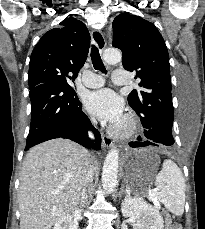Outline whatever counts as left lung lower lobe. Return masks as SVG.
<instances>
[{
	"mask_svg": "<svg viewBox=\"0 0 205 229\" xmlns=\"http://www.w3.org/2000/svg\"><path fill=\"white\" fill-rule=\"evenodd\" d=\"M170 133L167 132V130L161 128V127H153L149 129L147 132H144V139H147L145 142H130L129 145L131 147H142V146H148V145H155L158 146V144L169 143L171 141ZM138 140H142V138L139 136Z\"/></svg>",
	"mask_w": 205,
	"mask_h": 229,
	"instance_id": "0a47b994",
	"label": "left lung lower lobe"
}]
</instances>
